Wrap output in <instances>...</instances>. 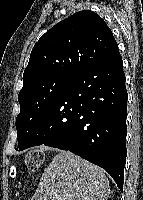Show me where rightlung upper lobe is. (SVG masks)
<instances>
[{
    "label": "right lung upper lobe",
    "instance_id": "cb5924a9",
    "mask_svg": "<svg viewBox=\"0 0 143 200\" xmlns=\"http://www.w3.org/2000/svg\"><path fill=\"white\" fill-rule=\"evenodd\" d=\"M118 49L105 21L90 10L79 11L43 34L23 73V87L54 75L72 77Z\"/></svg>",
    "mask_w": 143,
    "mask_h": 200
}]
</instances>
